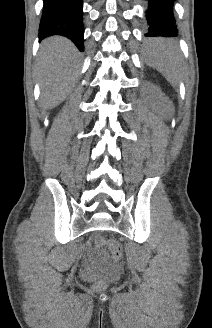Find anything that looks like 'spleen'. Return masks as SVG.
Returning a JSON list of instances; mask_svg holds the SVG:
<instances>
[{
	"label": "spleen",
	"mask_w": 212,
	"mask_h": 328,
	"mask_svg": "<svg viewBox=\"0 0 212 328\" xmlns=\"http://www.w3.org/2000/svg\"><path fill=\"white\" fill-rule=\"evenodd\" d=\"M146 55L148 64L162 72L170 82L178 80L181 58L174 43L156 39L150 43Z\"/></svg>",
	"instance_id": "obj_1"
}]
</instances>
